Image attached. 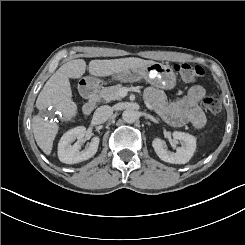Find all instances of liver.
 Here are the masks:
<instances>
[{
	"instance_id": "6515ba94",
	"label": "liver",
	"mask_w": 245,
	"mask_h": 245,
	"mask_svg": "<svg viewBox=\"0 0 245 245\" xmlns=\"http://www.w3.org/2000/svg\"><path fill=\"white\" fill-rule=\"evenodd\" d=\"M153 61L130 57L112 60H93L89 64L92 75L102 76L124 71L129 68L140 67ZM86 62L82 59L72 60L61 66L46 82L40 92L36 106L45 109L53 106L62 110L63 116L71 117L76 112V105L71 101L69 78L80 77L86 69ZM33 133L37 144L46 153L50 154L57 125L53 122H42L40 116L34 117L32 122Z\"/></svg>"
}]
</instances>
